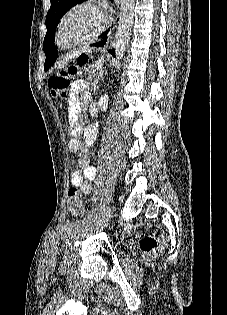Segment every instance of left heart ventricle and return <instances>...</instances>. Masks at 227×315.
Returning a JSON list of instances; mask_svg holds the SVG:
<instances>
[{"label": "left heart ventricle", "mask_w": 227, "mask_h": 315, "mask_svg": "<svg viewBox=\"0 0 227 315\" xmlns=\"http://www.w3.org/2000/svg\"><path fill=\"white\" fill-rule=\"evenodd\" d=\"M100 17L91 10L73 12L65 21L60 41L62 44L76 42L91 34L99 25Z\"/></svg>", "instance_id": "b2bd125f"}]
</instances>
